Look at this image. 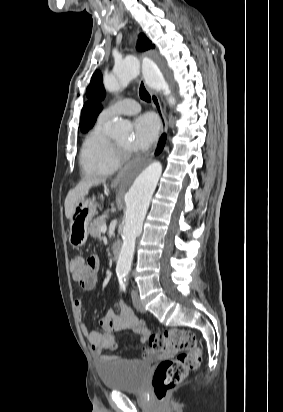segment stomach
Segmentation results:
<instances>
[{"label": "stomach", "mask_w": 283, "mask_h": 412, "mask_svg": "<svg viewBox=\"0 0 283 412\" xmlns=\"http://www.w3.org/2000/svg\"><path fill=\"white\" fill-rule=\"evenodd\" d=\"M94 199H82L74 208L70 220L69 243L75 247L83 246L90 232V223L97 213Z\"/></svg>", "instance_id": "1"}]
</instances>
